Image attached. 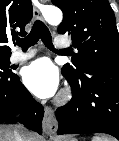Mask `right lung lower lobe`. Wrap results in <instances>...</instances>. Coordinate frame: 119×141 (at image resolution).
Wrapping results in <instances>:
<instances>
[{"instance_id":"right-lung-lower-lobe-1","label":"right lung lower lobe","mask_w":119,"mask_h":141,"mask_svg":"<svg viewBox=\"0 0 119 141\" xmlns=\"http://www.w3.org/2000/svg\"><path fill=\"white\" fill-rule=\"evenodd\" d=\"M21 112L17 121L41 134L44 109L36 102L15 74L0 73V124L14 123L13 115Z\"/></svg>"}]
</instances>
